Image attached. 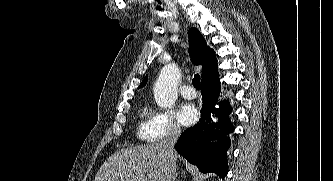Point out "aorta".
Segmentation results:
<instances>
[{
	"instance_id": "obj_1",
	"label": "aorta",
	"mask_w": 333,
	"mask_h": 181,
	"mask_svg": "<svg viewBox=\"0 0 333 181\" xmlns=\"http://www.w3.org/2000/svg\"><path fill=\"white\" fill-rule=\"evenodd\" d=\"M180 72L176 64L165 65L154 84V97L156 103L164 109L171 108L177 100V85Z\"/></svg>"
}]
</instances>
